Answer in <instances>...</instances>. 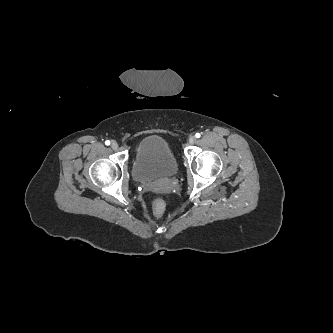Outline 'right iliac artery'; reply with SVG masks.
<instances>
[{
	"label": "right iliac artery",
	"instance_id": "82829eb1",
	"mask_svg": "<svg viewBox=\"0 0 333 333\" xmlns=\"http://www.w3.org/2000/svg\"><path fill=\"white\" fill-rule=\"evenodd\" d=\"M105 144H106L107 146L110 145V141H109V140L105 141Z\"/></svg>",
	"mask_w": 333,
	"mask_h": 333
}]
</instances>
